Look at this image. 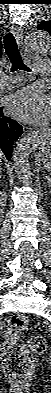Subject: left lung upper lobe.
Masks as SVG:
<instances>
[{
  "label": "left lung upper lobe",
  "instance_id": "obj_1",
  "mask_svg": "<svg viewBox=\"0 0 51 393\" xmlns=\"http://www.w3.org/2000/svg\"><path fill=\"white\" fill-rule=\"evenodd\" d=\"M37 29L47 31L51 34V20L38 24Z\"/></svg>",
  "mask_w": 51,
  "mask_h": 393
}]
</instances>
